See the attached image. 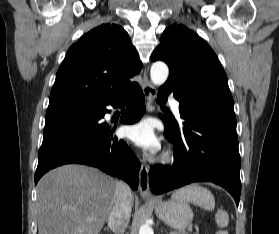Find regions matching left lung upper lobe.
Here are the masks:
<instances>
[{"mask_svg":"<svg viewBox=\"0 0 279 234\" xmlns=\"http://www.w3.org/2000/svg\"><path fill=\"white\" fill-rule=\"evenodd\" d=\"M151 59L167 63V82L187 96L233 106L227 77L216 54L183 24H173L164 30Z\"/></svg>","mask_w":279,"mask_h":234,"instance_id":"obj_1","label":"left lung upper lobe"}]
</instances>
